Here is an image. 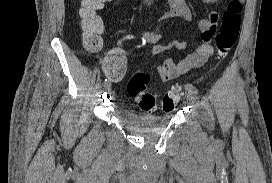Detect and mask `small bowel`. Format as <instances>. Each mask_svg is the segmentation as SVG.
I'll list each match as a JSON object with an SVG mask.
<instances>
[{
	"mask_svg": "<svg viewBox=\"0 0 272 183\" xmlns=\"http://www.w3.org/2000/svg\"><path fill=\"white\" fill-rule=\"evenodd\" d=\"M205 3L213 4L218 0H202ZM171 14L176 17H180L186 21L192 19V10L186 0H168ZM219 20V14L216 11H212L209 16L202 19L198 23L199 30L201 31V38H198V43L193 51L188 54L183 60L174 62L172 60H166L158 66V73L163 81H170L185 75L193 68H199L213 54V47L209 43L214 42V31L219 30L217 25ZM144 40L149 43H155L159 39L158 34L145 33ZM188 47L186 42L171 41L165 46L155 45L152 49L153 54H162L171 49L184 50ZM103 68L106 76L112 81H119L126 71V57L122 48L112 49L108 55L104 58Z\"/></svg>",
	"mask_w": 272,
	"mask_h": 183,
	"instance_id": "obj_1",
	"label": "small bowel"
}]
</instances>
